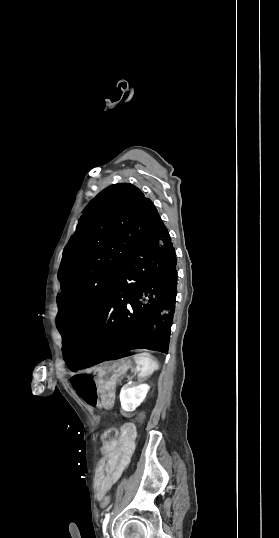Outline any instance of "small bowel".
Segmentation results:
<instances>
[{
    "instance_id": "obj_1",
    "label": "small bowel",
    "mask_w": 279,
    "mask_h": 538,
    "mask_svg": "<svg viewBox=\"0 0 279 538\" xmlns=\"http://www.w3.org/2000/svg\"><path fill=\"white\" fill-rule=\"evenodd\" d=\"M72 388L78 397L88 406L98 407L99 400L95 382L85 374L75 375L71 380ZM136 428L133 424H124L120 429L117 442L103 445L102 452L106 455L101 477L97 480L98 495L102 498L120 479L128 466L135 449Z\"/></svg>"
}]
</instances>
